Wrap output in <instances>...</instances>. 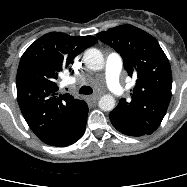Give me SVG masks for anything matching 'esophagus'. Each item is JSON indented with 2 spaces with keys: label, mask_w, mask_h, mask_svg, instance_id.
<instances>
[{
  "label": "esophagus",
  "mask_w": 187,
  "mask_h": 187,
  "mask_svg": "<svg viewBox=\"0 0 187 187\" xmlns=\"http://www.w3.org/2000/svg\"><path fill=\"white\" fill-rule=\"evenodd\" d=\"M100 98V95H92L88 97V100L91 102H95Z\"/></svg>",
  "instance_id": "esophagus-1"
}]
</instances>
